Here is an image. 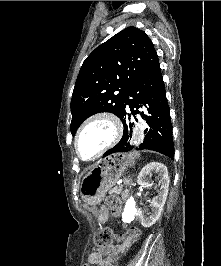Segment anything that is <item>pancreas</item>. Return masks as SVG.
<instances>
[{
  "label": "pancreas",
  "mask_w": 221,
  "mask_h": 266,
  "mask_svg": "<svg viewBox=\"0 0 221 266\" xmlns=\"http://www.w3.org/2000/svg\"><path fill=\"white\" fill-rule=\"evenodd\" d=\"M122 192V185L119 187H114L110 190V194L112 195H119Z\"/></svg>",
  "instance_id": "obj_1"
}]
</instances>
